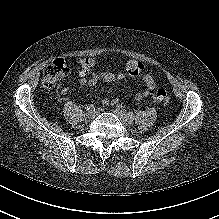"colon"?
Masks as SVG:
<instances>
[{"label": "colon", "instance_id": "1", "mask_svg": "<svg viewBox=\"0 0 219 219\" xmlns=\"http://www.w3.org/2000/svg\"><path fill=\"white\" fill-rule=\"evenodd\" d=\"M88 65V64H87ZM70 73V68L64 58L54 59L45 69L43 74V86L47 89L55 87ZM152 97L157 102L168 104L170 101L169 93L164 89H158L152 93Z\"/></svg>", "mask_w": 219, "mask_h": 219}]
</instances>
